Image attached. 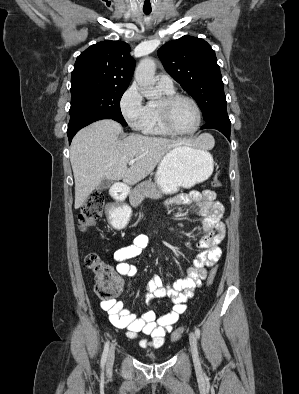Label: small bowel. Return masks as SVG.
<instances>
[{
    "label": "small bowel",
    "mask_w": 299,
    "mask_h": 394,
    "mask_svg": "<svg viewBox=\"0 0 299 394\" xmlns=\"http://www.w3.org/2000/svg\"><path fill=\"white\" fill-rule=\"evenodd\" d=\"M167 203L179 206L195 205V212L199 215L201 223V238L197 243L201 251L193 265L188 268L187 276L164 284L160 276L154 275L148 282L150 297L168 298L172 305L171 311L159 317L153 311L136 316L124 307L122 301L101 302V308L108 314L111 324L116 328L127 330L128 337L135 338L138 334L151 336V342L146 339L140 341L143 348L148 345L159 348L164 344L166 335L173 330L180 315L185 312L187 299L193 295V290L206 277L207 268L213 267L219 261L222 253L219 245L226 233L223 222L225 208L217 201L215 192L191 191L188 194L177 195ZM148 245V236L139 234L130 244L116 249L113 257L118 262L117 273L121 276H134L137 272L136 267L127 261L140 256Z\"/></svg>",
    "instance_id": "obj_1"
}]
</instances>
